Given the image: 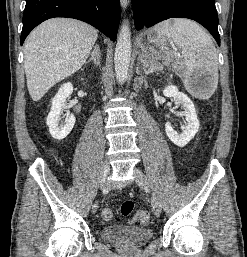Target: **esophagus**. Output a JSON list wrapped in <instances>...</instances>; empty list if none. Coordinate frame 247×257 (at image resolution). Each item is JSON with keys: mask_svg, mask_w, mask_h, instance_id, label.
I'll use <instances>...</instances> for the list:
<instances>
[{"mask_svg": "<svg viewBox=\"0 0 247 257\" xmlns=\"http://www.w3.org/2000/svg\"><path fill=\"white\" fill-rule=\"evenodd\" d=\"M129 0H120L122 8L125 10L129 5Z\"/></svg>", "mask_w": 247, "mask_h": 257, "instance_id": "1", "label": "esophagus"}]
</instances>
